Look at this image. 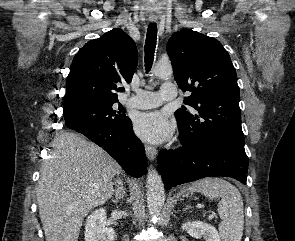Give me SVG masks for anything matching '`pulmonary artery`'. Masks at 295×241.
Segmentation results:
<instances>
[{
    "label": "pulmonary artery",
    "instance_id": "1",
    "mask_svg": "<svg viewBox=\"0 0 295 241\" xmlns=\"http://www.w3.org/2000/svg\"><path fill=\"white\" fill-rule=\"evenodd\" d=\"M177 90L173 83H163L160 90L151 92L147 90H136L135 95L128 99L129 107L136 109H150L160 106L168 100L176 97Z\"/></svg>",
    "mask_w": 295,
    "mask_h": 241
}]
</instances>
